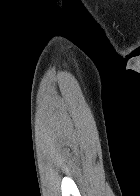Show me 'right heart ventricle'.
Returning a JSON list of instances; mask_svg holds the SVG:
<instances>
[{
    "label": "right heart ventricle",
    "instance_id": "obj_1",
    "mask_svg": "<svg viewBox=\"0 0 140 196\" xmlns=\"http://www.w3.org/2000/svg\"><path fill=\"white\" fill-rule=\"evenodd\" d=\"M96 192H108V191H96Z\"/></svg>",
    "mask_w": 140,
    "mask_h": 196
}]
</instances>
